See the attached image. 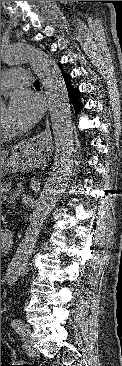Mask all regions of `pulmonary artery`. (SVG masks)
Instances as JSON below:
<instances>
[{
  "mask_svg": "<svg viewBox=\"0 0 122 366\" xmlns=\"http://www.w3.org/2000/svg\"><path fill=\"white\" fill-rule=\"evenodd\" d=\"M31 73L25 70L7 69L1 72V92L19 87L30 85Z\"/></svg>",
  "mask_w": 122,
  "mask_h": 366,
  "instance_id": "obj_1",
  "label": "pulmonary artery"
}]
</instances>
